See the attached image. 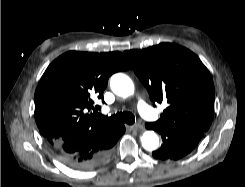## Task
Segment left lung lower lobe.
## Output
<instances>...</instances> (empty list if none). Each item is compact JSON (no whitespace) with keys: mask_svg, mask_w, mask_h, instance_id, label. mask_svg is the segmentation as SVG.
<instances>
[{"mask_svg":"<svg viewBox=\"0 0 245 187\" xmlns=\"http://www.w3.org/2000/svg\"><path fill=\"white\" fill-rule=\"evenodd\" d=\"M147 129L157 131L162 138L161 147L152 153L160 160H179L189 154L199 143L204 131L194 129H169L155 122L146 123Z\"/></svg>","mask_w":245,"mask_h":187,"instance_id":"left-lung-lower-lobe-1","label":"left lung lower lobe"}]
</instances>
